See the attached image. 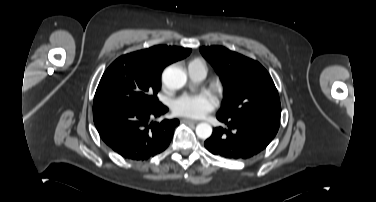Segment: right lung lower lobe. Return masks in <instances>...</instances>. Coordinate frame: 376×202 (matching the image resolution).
<instances>
[{"label": "right lung lower lobe", "instance_id": "right-lung-lower-lobe-1", "mask_svg": "<svg viewBox=\"0 0 376 202\" xmlns=\"http://www.w3.org/2000/svg\"><path fill=\"white\" fill-rule=\"evenodd\" d=\"M168 111L162 103L151 107L115 104L93 110L95 126L102 140L126 159L147 160L164 151L178 119L151 122Z\"/></svg>", "mask_w": 376, "mask_h": 202}]
</instances>
